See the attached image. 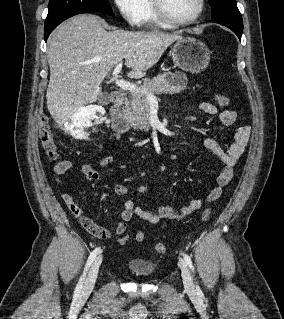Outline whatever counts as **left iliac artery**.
Here are the masks:
<instances>
[{
  "label": "left iliac artery",
  "mask_w": 284,
  "mask_h": 319,
  "mask_svg": "<svg viewBox=\"0 0 284 319\" xmlns=\"http://www.w3.org/2000/svg\"><path fill=\"white\" fill-rule=\"evenodd\" d=\"M184 259H185V262H186V264L189 266V268L193 271L194 270V267H193V263H192V260H191V258H190V256L189 255H187V254H184ZM196 289H197V293H201V290H200V288H199V286L198 285H196Z\"/></svg>",
  "instance_id": "left-iliac-artery-1"
}]
</instances>
